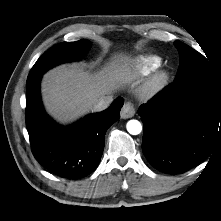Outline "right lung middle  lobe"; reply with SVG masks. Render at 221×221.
I'll list each match as a JSON object with an SVG mask.
<instances>
[{
  "label": "right lung middle lobe",
  "mask_w": 221,
  "mask_h": 221,
  "mask_svg": "<svg viewBox=\"0 0 221 221\" xmlns=\"http://www.w3.org/2000/svg\"><path fill=\"white\" fill-rule=\"evenodd\" d=\"M89 47L90 43L88 40L62 42L53 46L32 67L27 78V84L40 78L47 70L60 63L80 59L88 51Z\"/></svg>",
  "instance_id": "1"
}]
</instances>
